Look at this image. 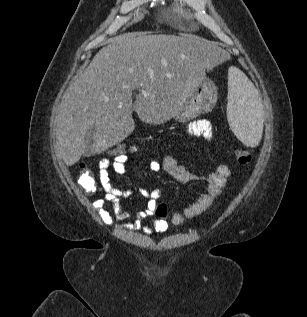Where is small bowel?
<instances>
[{"instance_id":"obj_1","label":"small bowel","mask_w":307,"mask_h":317,"mask_svg":"<svg viewBox=\"0 0 307 317\" xmlns=\"http://www.w3.org/2000/svg\"><path fill=\"white\" fill-rule=\"evenodd\" d=\"M186 133L190 136H202L207 140L213 139V129L211 123L206 119L196 120L191 122L186 127ZM134 151L138 148L134 146ZM127 162L125 158L109 159L103 158L99 163L98 178L100 185L104 191L101 198L93 201L92 206L98 212L103 222L110 226L113 218L117 220H131L132 226L139 229L141 222L153 216L156 206V200L161 196V189L147 190L139 188L138 192L141 196L146 198V209L135 214L123 211L120 209L118 200L120 197L130 195L129 190L115 189L110 182V170L113 169L118 174L127 173ZM148 169L151 172H156L159 169H164L170 176L183 182L203 181L206 184L205 192L190 206L182 211L175 212L171 216L173 224H182L186 220L197 217L204 213L219 197L222 189L227 183L230 175V168L227 165H219L213 172L208 174H194L187 170L184 166L179 165L170 154H165L161 158L152 160L149 163ZM112 205L110 211L107 206ZM168 225L165 221L154 220L151 224L143 226V231L146 234L152 233L153 230L157 232H165Z\"/></svg>"}]
</instances>
